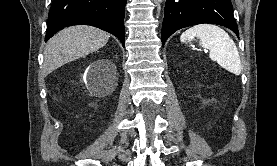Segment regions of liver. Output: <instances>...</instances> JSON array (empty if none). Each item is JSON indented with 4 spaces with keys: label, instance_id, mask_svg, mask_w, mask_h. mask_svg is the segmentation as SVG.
<instances>
[{
    "label": "liver",
    "instance_id": "6515ba94",
    "mask_svg": "<svg viewBox=\"0 0 277 166\" xmlns=\"http://www.w3.org/2000/svg\"><path fill=\"white\" fill-rule=\"evenodd\" d=\"M110 35L92 26L77 25L54 35L44 49L43 75L104 47Z\"/></svg>",
    "mask_w": 277,
    "mask_h": 166
}]
</instances>
